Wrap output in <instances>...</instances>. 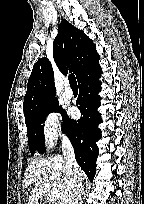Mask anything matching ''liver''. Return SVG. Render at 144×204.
Listing matches in <instances>:
<instances>
[{
    "label": "liver",
    "instance_id": "liver-1",
    "mask_svg": "<svg viewBox=\"0 0 144 204\" xmlns=\"http://www.w3.org/2000/svg\"><path fill=\"white\" fill-rule=\"evenodd\" d=\"M81 177L83 180L82 171ZM33 183H35V187L28 197V204H35L42 197L45 192V183H50L53 188L58 189L61 198H63L68 189V176L63 156L55 155L32 161L25 170L23 188L26 189Z\"/></svg>",
    "mask_w": 144,
    "mask_h": 204
}]
</instances>
